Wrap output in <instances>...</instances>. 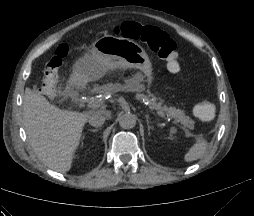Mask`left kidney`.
Here are the masks:
<instances>
[{"label":"left kidney","mask_w":254,"mask_h":216,"mask_svg":"<svg viewBox=\"0 0 254 216\" xmlns=\"http://www.w3.org/2000/svg\"><path fill=\"white\" fill-rule=\"evenodd\" d=\"M171 133L172 134L176 133V129L175 128H171Z\"/></svg>","instance_id":"left-kidney-1"}]
</instances>
